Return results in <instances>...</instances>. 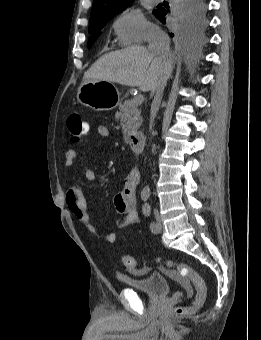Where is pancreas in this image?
Returning a JSON list of instances; mask_svg holds the SVG:
<instances>
[{"label": "pancreas", "mask_w": 261, "mask_h": 340, "mask_svg": "<svg viewBox=\"0 0 261 340\" xmlns=\"http://www.w3.org/2000/svg\"><path fill=\"white\" fill-rule=\"evenodd\" d=\"M116 117L121 120L125 140L142 124L140 111L137 106H131V100H125L123 104H119V112L116 113Z\"/></svg>", "instance_id": "1"}]
</instances>
